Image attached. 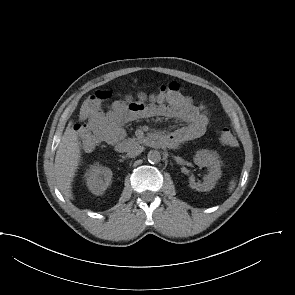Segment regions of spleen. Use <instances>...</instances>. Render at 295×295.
Segmentation results:
<instances>
[{
  "mask_svg": "<svg viewBox=\"0 0 295 295\" xmlns=\"http://www.w3.org/2000/svg\"><path fill=\"white\" fill-rule=\"evenodd\" d=\"M236 186V180L233 178L229 183V192H232Z\"/></svg>",
  "mask_w": 295,
  "mask_h": 295,
  "instance_id": "1",
  "label": "spleen"
}]
</instances>
